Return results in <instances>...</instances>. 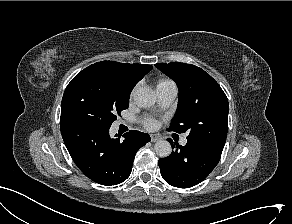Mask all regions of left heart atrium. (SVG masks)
I'll return each instance as SVG.
<instances>
[{
  "instance_id": "1",
  "label": "left heart atrium",
  "mask_w": 292,
  "mask_h": 224,
  "mask_svg": "<svg viewBox=\"0 0 292 224\" xmlns=\"http://www.w3.org/2000/svg\"><path fill=\"white\" fill-rule=\"evenodd\" d=\"M144 126L149 130H153L156 128L157 124L154 120L148 118V119H145Z\"/></svg>"
}]
</instances>
